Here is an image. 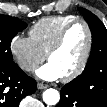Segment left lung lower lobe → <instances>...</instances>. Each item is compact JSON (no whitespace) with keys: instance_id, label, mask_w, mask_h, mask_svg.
<instances>
[{"instance_id":"0a47b994","label":"left lung lower lobe","mask_w":107,"mask_h":107,"mask_svg":"<svg viewBox=\"0 0 107 107\" xmlns=\"http://www.w3.org/2000/svg\"><path fill=\"white\" fill-rule=\"evenodd\" d=\"M102 67L90 86L73 81L66 84L56 107H107V67L104 64Z\"/></svg>"}]
</instances>
